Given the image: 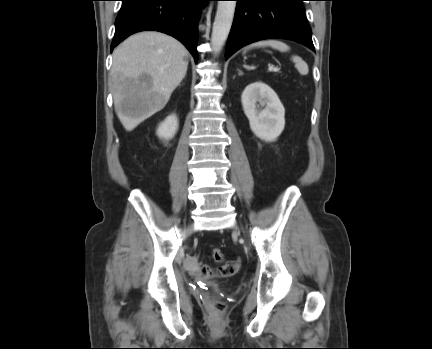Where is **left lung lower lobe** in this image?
<instances>
[{"label": "left lung lower lobe", "mask_w": 432, "mask_h": 349, "mask_svg": "<svg viewBox=\"0 0 432 349\" xmlns=\"http://www.w3.org/2000/svg\"><path fill=\"white\" fill-rule=\"evenodd\" d=\"M225 58L243 46L268 38L293 40L314 51L304 0H236Z\"/></svg>", "instance_id": "obj_1"}]
</instances>
